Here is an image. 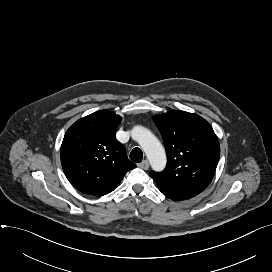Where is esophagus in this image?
<instances>
[{
	"label": "esophagus",
	"mask_w": 272,
	"mask_h": 272,
	"mask_svg": "<svg viewBox=\"0 0 272 272\" xmlns=\"http://www.w3.org/2000/svg\"><path fill=\"white\" fill-rule=\"evenodd\" d=\"M138 167L147 170L149 168V162L148 160H144L141 163L138 164Z\"/></svg>",
	"instance_id": "esophagus-1"
}]
</instances>
